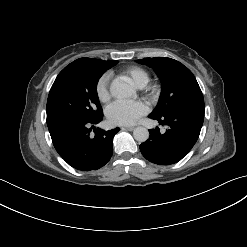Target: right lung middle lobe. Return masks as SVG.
Here are the masks:
<instances>
[{"instance_id": "1", "label": "right lung middle lobe", "mask_w": 247, "mask_h": 247, "mask_svg": "<svg viewBox=\"0 0 247 247\" xmlns=\"http://www.w3.org/2000/svg\"><path fill=\"white\" fill-rule=\"evenodd\" d=\"M118 61L64 68L56 77L47 100V125L67 119L89 120L101 115L97 95L99 78Z\"/></svg>"}]
</instances>
